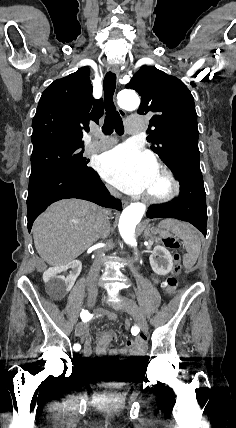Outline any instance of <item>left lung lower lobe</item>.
I'll return each instance as SVG.
<instances>
[{"mask_svg":"<svg viewBox=\"0 0 236 428\" xmlns=\"http://www.w3.org/2000/svg\"><path fill=\"white\" fill-rule=\"evenodd\" d=\"M174 174L180 182L179 197L170 204L151 206L146 213L147 217L175 218L187 221L206 236L207 206L202 175Z\"/></svg>","mask_w":236,"mask_h":428,"instance_id":"left-lung-lower-lobe-1","label":"left lung lower lobe"}]
</instances>
